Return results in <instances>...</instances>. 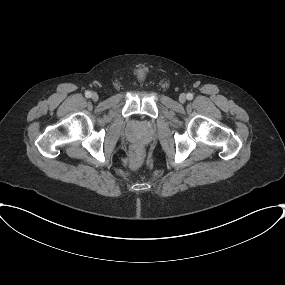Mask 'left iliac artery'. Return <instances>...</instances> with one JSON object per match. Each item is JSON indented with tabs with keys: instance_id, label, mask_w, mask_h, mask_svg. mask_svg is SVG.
I'll return each instance as SVG.
<instances>
[{
	"instance_id": "44dca946",
	"label": "left iliac artery",
	"mask_w": 285,
	"mask_h": 285,
	"mask_svg": "<svg viewBox=\"0 0 285 285\" xmlns=\"http://www.w3.org/2000/svg\"><path fill=\"white\" fill-rule=\"evenodd\" d=\"M186 98H187L188 100H192V99H193V94H192V93H188V94L186 95Z\"/></svg>"
}]
</instances>
